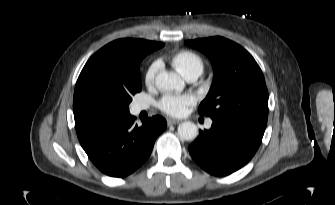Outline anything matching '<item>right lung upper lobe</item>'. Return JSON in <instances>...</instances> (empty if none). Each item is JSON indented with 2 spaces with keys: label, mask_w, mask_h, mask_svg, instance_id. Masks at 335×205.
<instances>
[{
  "label": "right lung upper lobe",
  "mask_w": 335,
  "mask_h": 205,
  "mask_svg": "<svg viewBox=\"0 0 335 205\" xmlns=\"http://www.w3.org/2000/svg\"><path fill=\"white\" fill-rule=\"evenodd\" d=\"M164 44L143 39H119L97 51L85 64L76 82L73 113L77 131L100 125L105 120H90L84 113V101L91 93L124 84L135 60L144 52H153ZM148 53V54H149Z\"/></svg>",
  "instance_id": "obj_1"
}]
</instances>
